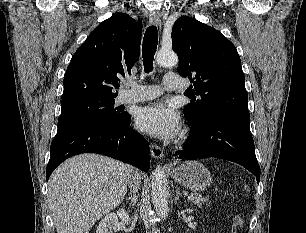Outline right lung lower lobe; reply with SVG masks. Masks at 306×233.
<instances>
[{
	"mask_svg": "<svg viewBox=\"0 0 306 233\" xmlns=\"http://www.w3.org/2000/svg\"><path fill=\"white\" fill-rule=\"evenodd\" d=\"M128 113L118 121L94 119L57 131L50 147L46 180L67 158L81 153H98L131 164L143 171L150 168L149 144L129 128Z\"/></svg>",
	"mask_w": 306,
	"mask_h": 233,
	"instance_id": "obj_1",
	"label": "right lung lower lobe"
}]
</instances>
